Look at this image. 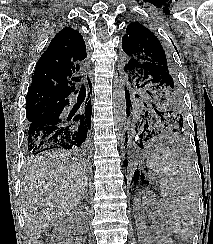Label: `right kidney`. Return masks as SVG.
<instances>
[{
    "label": "right kidney",
    "mask_w": 213,
    "mask_h": 244,
    "mask_svg": "<svg viewBox=\"0 0 213 244\" xmlns=\"http://www.w3.org/2000/svg\"><path fill=\"white\" fill-rule=\"evenodd\" d=\"M69 215L81 228L86 227L87 211L83 207L77 208Z\"/></svg>",
    "instance_id": "obj_1"
}]
</instances>
